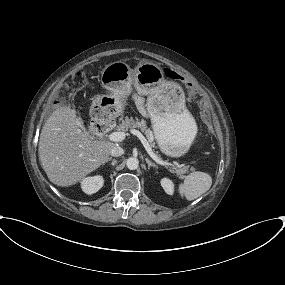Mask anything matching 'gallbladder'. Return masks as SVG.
<instances>
[{"mask_svg": "<svg viewBox=\"0 0 285 285\" xmlns=\"http://www.w3.org/2000/svg\"><path fill=\"white\" fill-rule=\"evenodd\" d=\"M77 120H78L80 126H81L82 128H84L83 120H82V118L80 117V115H78Z\"/></svg>", "mask_w": 285, "mask_h": 285, "instance_id": "bac80fb5", "label": "gallbladder"}]
</instances>
